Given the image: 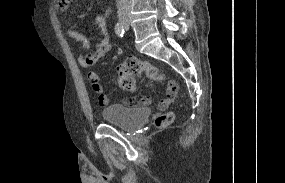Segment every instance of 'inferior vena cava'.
Segmentation results:
<instances>
[{
    "mask_svg": "<svg viewBox=\"0 0 285 183\" xmlns=\"http://www.w3.org/2000/svg\"><path fill=\"white\" fill-rule=\"evenodd\" d=\"M130 0H118V16L127 17L130 15Z\"/></svg>",
    "mask_w": 285,
    "mask_h": 183,
    "instance_id": "obj_1",
    "label": "inferior vena cava"
}]
</instances>
